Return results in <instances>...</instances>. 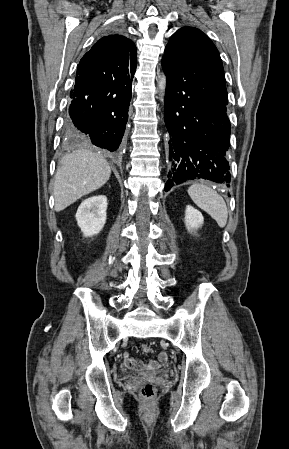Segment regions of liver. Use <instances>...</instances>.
Masks as SVG:
<instances>
[{
	"label": "liver",
	"instance_id": "obj_1",
	"mask_svg": "<svg viewBox=\"0 0 289 449\" xmlns=\"http://www.w3.org/2000/svg\"><path fill=\"white\" fill-rule=\"evenodd\" d=\"M111 168L99 154L81 149L60 160L55 175V210L60 212L101 186L110 178Z\"/></svg>",
	"mask_w": 289,
	"mask_h": 449
}]
</instances>
